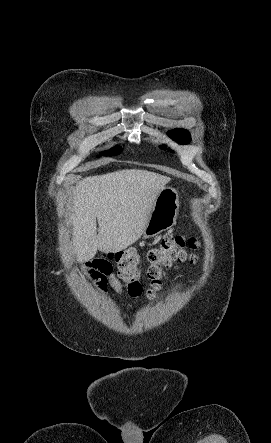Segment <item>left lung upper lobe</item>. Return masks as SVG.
<instances>
[{"mask_svg": "<svg viewBox=\"0 0 271 443\" xmlns=\"http://www.w3.org/2000/svg\"><path fill=\"white\" fill-rule=\"evenodd\" d=\"M169 137L180 144H188L191 141L190 133L185 129H174L169 133ZM162 148H165L162 146Z\"/></svg>", "mask_w": 271, "mask_h": 443, "instance_id": "5c2ea615", "label": "left lung upper lobe"}]
</instances>
